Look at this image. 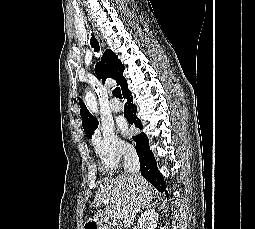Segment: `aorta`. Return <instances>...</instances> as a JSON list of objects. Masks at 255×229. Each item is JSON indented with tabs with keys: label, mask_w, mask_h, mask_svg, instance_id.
I'll return each mask as SVG.
<instances>
[{
	"label": "aorta",
	"mask_w": 255,
	"mask_h": 229,
	"mask_svg": "<svg viewBox=\"0 0 255 229\" xmlns=\"http://www.w3.org/2000/svg\"><path fill=\"white\" fill-rule=\"evenodd\" d=\"M87 108L94 114L98 112V104L95 95L91 91H87L84 97Z\"/></svg>",
	"instance_id": "762f6f07"
}]
</instances>
